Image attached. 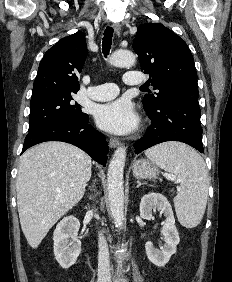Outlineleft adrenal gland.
Instances as JSON below:
<instances>
[{
    "label": "left adrenal gland",
    "mask_w": 232,
    "mask_h": 282,
    "mask_svg": "<svg viewBox=\"0 0 232 282\" xmlns=\"http://www.w3.org/2000/svg\"><path fill=\"white\" fill-rule=\"evenodd\" d=\"M141 185H145V183L143 184V183H141L140 181H137V186H136V188L140 187Z\"/></svg>",
    "instance_id": "left-adrenal-gland-1"
}]
</instances>
